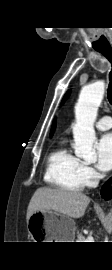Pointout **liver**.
<instances>
[{
  "instance_id": "obj_1",
  "label": "liver",
  "mask_w": 112,
  "mask_h": 270,
  "mask_svg": "<svg viewBox=\"0 0 112 270\" xmlns=\"http://www.w3.org/2000/svg\"><path fill=\"white\" fill-rule=\"evenodd\" d=\"M90 198L83 193L66 189L41 187L33 194L28 208L27 221L35 211L47 210L61 213L71 218L84 215Z\"/></svg>"
}]
</instances>
